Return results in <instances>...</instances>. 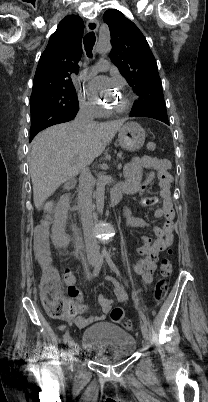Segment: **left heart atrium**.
<instances>
[{
  "instance_id": "obj_1",
  "label": "left heart atrium",
  "mask_w": 208,
  "mask_h": 402,
  "mask_svg": "<svg viewBox=\"0 0 208 402\" xmlns=\"http://www.w3.org/2000/svg\"><path fill=\"white\" fill-rule=\"evenodd\" d=\"M107 82H108V79L104 76H96V77L91 78L88 83V90L90 93L89 95L92 96L93 91H95L100 86L106 84Z\"/></svg>"
}]
</instances>
